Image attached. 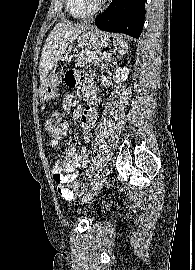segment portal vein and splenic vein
Returning <instances> with one entry per match:
<instances>
[{
  "label": "portal vein and splenic vein",
  "mask_w": 195,
  "mask_h": 270,
  "mask_svg": "<svg viewBox=\"0 0 195 270\" xmlns=\"http://www.w3.org/2000/svg\"><path fill=\"white\" fill-rule=\"evenodd\" d=\"M102 54V57H104V58H110L111 57V55L109 54V53H101Z\"/></svg>",
  "instance_id": "obj_1"
}]
</instances>
